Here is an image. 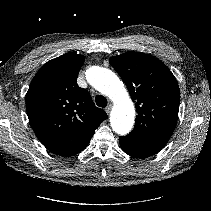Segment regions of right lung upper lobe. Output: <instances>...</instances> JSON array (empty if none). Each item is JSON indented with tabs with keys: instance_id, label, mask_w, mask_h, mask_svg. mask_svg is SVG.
I'll use <instances>...</instances> for the list:
<instances>
[{
	"instance_id": "cb5924a9",
	"label": "right lung upper lobe",
	"mask_w": 211,
	"mask_h": 211,
	"mask_svg": "<svg viewBox=\"0 0 211 211\" xmlns=\"http://www.w3.org/2000/svg\"><path fill=\"white\" fill-rule=\"evenodd\" d=\"M85 57L67 53L44 64L26 94L27 115L37 138L61 156L80 153L107 118L89 92L77 85Z\"/></svg>"
}]
</instances>
